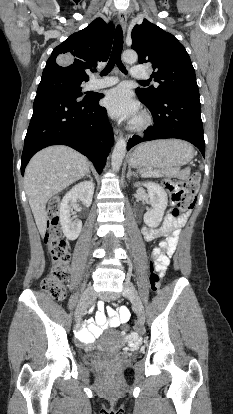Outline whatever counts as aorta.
<instances>
[{
    "label": "aorta",
    "instance_id": "aorta-1",
    "mask_svg": "<svg viewBox=\"0 0 233 414\" xmlns=\"http://www.w3.org/2000/svg\"><path fill=\"white\" fill-rule=\"evenodd\" d=\"M122 59L128 64H133L138 60V55L133 50H127L122 54ZM126 145L127 143L124 138H120L116 142L111 158V166L113 171H119L126 153Z\"/></svg>",
    "mask_w": 233,
    "mask_h": 414
}]
</instances>
